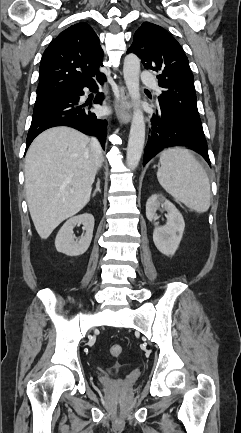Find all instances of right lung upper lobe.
Listing matches in <instances>:
<instances>
[{"instance_id": "1", "label": "right lung upper lobe", "mask_w": 241, "mask_h": 433, "mask_svg": "<svg viewBox=\"0 0 241 433\" xmlns=\"http://www.w3.org/2000/svg\"><path fill=\"white\" fill-rule=\"evenodd\" d=\"M102 61L103 50L93 29L85 22L70 26L44 51L37 96L94 82L103 76Z\"/></svg>"}]
</instances>
